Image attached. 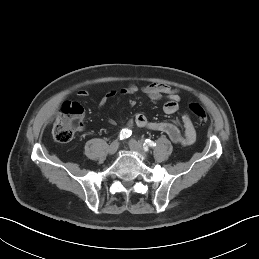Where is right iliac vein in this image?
<instances>
[{
	"mask_svg": "<svg viewBox=\"0 0 259 259\" xmlns=\"http://www.w3.org/2000/svg\"><path fill=\"white\" fill-rule=\"evenodd\" d=\"M118 147H119V142H118L117 140L113 141V142L110 144L109 148H108V153H109L110 155L115 154V153L117 152V150H118Z\"/></svg>",
	"mask_w": 259,
	"mask_h": 259,
	"instance_id": "right-iliac-vein-1",
	"label": "right iliac vein"
}]
</instances>
